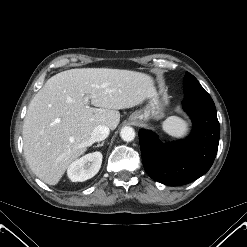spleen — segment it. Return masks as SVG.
Wrapping results in <instances>:
<instances>
[{"instance_id":"1","label":"spleen","mask_w":247,"mask_h":247,"mask_svg":"<svg viewBox=\"0 0 247 247\" xmlns=\"http://www.w3.org/2000/svg\"><path fill=\"white\" fill-rule=\"evenodd\" d=\"M162 127L166 133L174 137H183L188 130V124L177 116L168 117Z\"/></svg>"}]
</instances>
